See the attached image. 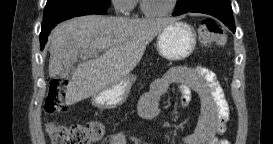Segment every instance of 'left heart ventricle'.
<instances>
[{"mask_svg": "<svg viewBox=\"0 0 273 144\" xmlns=\"http://www.w3.org/2000/svg\"><path fill=\"white\" fill-rule=\"evenodd\" d=\"M172 0H146L150 10H162L167 8Z\"/></svg>", "mask_w": 273, "mask_h": 144, "instance_id": "b2bd125f", "label": "left heart ventricle"}]
</instances>
